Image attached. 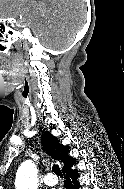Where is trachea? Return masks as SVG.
Listing matches in <instances>:
<instances>
[{
  "label": "trachea",
  "mask_w": 124,
  "mask_h": 189,
  "mask_svg": "<svg viewBox=\"0 0 124 189\" xmlns=\"http://www.w3.org/2000/svg\"><path fill=\"white\" fill-rule=\"evenodd\" d=\"M52 170H53V172H54L56 175H58V176H60V177L63 176V174H62V172H61V170H60V168H59L58 165L54 164L53 167H52Z\"/></svg>",
  "instance_id": "1"
}]
</instances>
